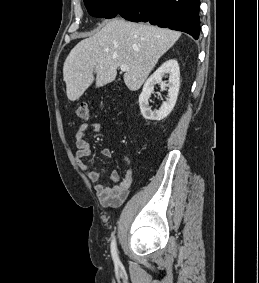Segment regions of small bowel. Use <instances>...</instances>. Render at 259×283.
I'll use <instances>...</instances> for the list:
<instances>
[{
	"mask_svg": "<svg viewBox=\"0 0 259 283\" xmlns=\"http://www.w3.org/2000/svg\"><path fill=\"white\" fill-rule=\"evenodd\" d=\"M100 130V124L93 122L90 124H81L75 133V160L78 167L86 174L87 178L95 183V192L103 205L115 206L125 201L129 194L132 183V168L129 167L124 176L119 171L114 170L110 173V184L99 182L101 173L92 170L84 161L85 157L90 153V145L86 139L88 132L96 133ZM101 154L104 157L111 158L112 151L109 148H102Z\"/></svg>",
	"mask_w": 259,
	"mask_h": 283,
	"instance_id": "obj_1",
	"label": "small bowel"
}]
</instances>
